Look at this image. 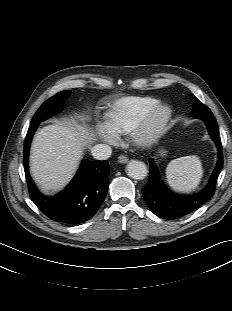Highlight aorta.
<instances>
[{
	"mask_svg": "<svg viewBox=\"0 0 232 311\" xmlns=\"http://www.w3.org/2000/svg\"><path fill=\"white\" fill-rule=\"evenodd\" d=\"M126 171L128 176L135 180L144 179L148 173L146 164L138 160H131L126 166Z\"/></svg>",
	"mask_w": 232,
	"mask_h": 311,
	"instance_id": "1",
	"label": "aorta"
}]
</instances>
